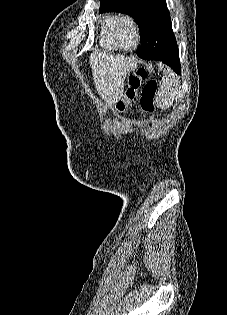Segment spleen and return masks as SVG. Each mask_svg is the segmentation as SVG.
Returning <instances> with one entry per match:
<instances>
[{"label": "spleen", "mask_w": 227, "mask_h": 315, "mask_svg": "<svg viewBox=\"0 0 227 315\" xmlns=\"http://www.w3.org/2000/svg\"><path fill=\"white\" fill-rule=\"evenodd\" d=\"M176 85L175 76L168 70L167 76L158 92L157 104L159 107L162 109L169 108L176 95Z\"/></svg>", "instance_id": "spleen-1"}]
</instances>
